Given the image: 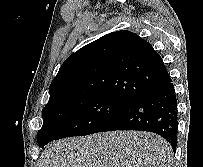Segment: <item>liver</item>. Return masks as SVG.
I'll use <instances>...</instances> for the list:
<instances>
[{"mask_svg":"<svg viewBox=\"0 0 203 167\" xmlns=\"http://www.w3.org/2000/svg\"><path fill=\"white\" fill-rule=\"evenodd\" d=\"M171 161L172 148L162 137L115 131L55 141L38 167H171Z\"/></svg>","mask_w":203,"mask_h":167,"instance_id":"1","label":"liver"}]
</instances>
